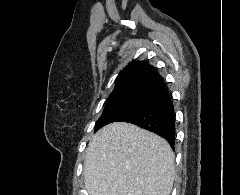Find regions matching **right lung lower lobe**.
Instances as JSON below:
<instances>
[{
    "label": "right lung lower lobe",
    "instance_id": "right-lung-lower-lobe-1",
    "mask_svg": "<svg viewBox=\"0 0 240 195\" xmlns=\"http://www.w3.org/2000/svg\"><path fill=\"white\" fill-rule=\"evenodd\" d=\"M118 121L132 123L150 130L165 138L174 149V106L164 82L153 88L137 108Z\"/></svg>",
    "mask_w": 240,
    "mask_h": 195
}]
</instances>
